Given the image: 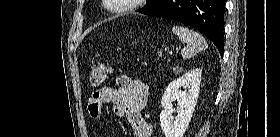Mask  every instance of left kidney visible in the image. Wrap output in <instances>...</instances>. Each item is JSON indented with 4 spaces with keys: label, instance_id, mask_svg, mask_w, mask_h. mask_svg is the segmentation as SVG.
<instances>
[{
    "label": "left kidney",
    "instance_id": "1",
    "mask_svg": "<svg viewBox=\"0 0 280 137\" xmlns=\"http://www.w3.org/2000/svg\"><path fill=\"white\" fill-rule=\"evenodd\" d=\"M202 71L192 69L178 79L172 81L166 88L161 105L164 110L160 114V122L165 137H183L195 109ZM184 87V91L181 88ZM177 101V116L173 118V101Z\"/></svg>",
    "mask_w": 280,
    "mask_h": 137
}]
</instances>
